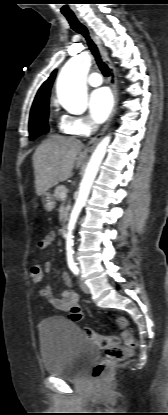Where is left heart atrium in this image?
Returning <instances> with one entry per match:
<instances>
[{
	"label": "left heart atrium",
	"mask_w": 168,
	"mask_h": 415,
	"mask_svg": "<svg viewBox=\"0 0 168 415\" xmlns=\"http://www.w3.org/2000/svg\"><path fill=\"white\" fill-rule=\"evenodd\" d=\"M113 99L108 89L94 90L89 97L90 116L96 123L104 122L111 113Z\"/></svg>",
	"instance_id": "1"
}]
</instances>
